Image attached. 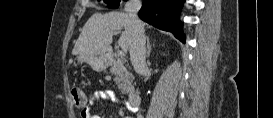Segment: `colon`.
<instances>
[{
  "label": "colon",
  "instance_id": "5ec220e1",
  "mask_svg": "<svg viewBox=\"0 0 273 118\" xmlns=\"http://www.w3.org/2000/svg\"><path fill=\"white\" fill-rule=\"evenodd\" d=\"M72 99L74 105L78 108H83L87 104V98L84 92L79 88L72 89Z\"/></svg>",
  "mask_w": 273,
  "mask_h": 118
}]
</instances>
